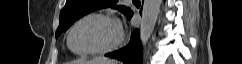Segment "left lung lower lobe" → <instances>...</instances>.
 Masks as SVG:
<instances>
[{"mask_svg": "<svg viewBox=\"0 0 242 64\" xmlns=\"http://www.w3.org/2000/svg\"><path fill=\"white\" fill-rule=\"evenodd\" d=\"M132 15L133 12L131 11L127 18L130 19ZM141 52L142 46L139 40V32L134 30L131 34L130 42L126 47L105 54V56L122 61L124 64H141Z\"/></svg>", "mask_w": 242, "mask_h": 64, "instance_id": "left-lung-lower-lobe-1", "label": "left lung lower lobe"}]
</instances>
